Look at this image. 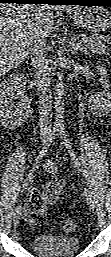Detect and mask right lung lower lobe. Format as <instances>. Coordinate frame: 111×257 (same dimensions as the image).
Returning <instances> with one entry per match:
<instances>
[{
	"label": "right lung lower lobe",
	"mask_w": 111,
	"mask_h": 257,
	"mask_svg": "<svg viewBox=\"0 0 111 257\" xmlns=\"http://www.w3.org/2000/svg\"><path fill=\"white\" fill-rule=\"evenodd\" d=\"M53 0H0V3H22V4H53Z\"/></svg>",
	"instance_id": "1"
}]
</instances>
